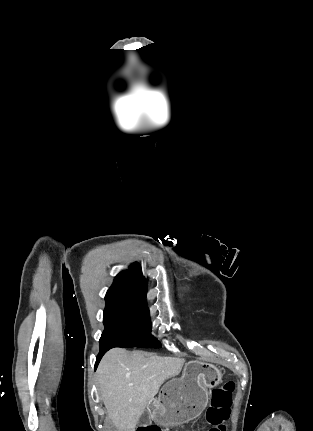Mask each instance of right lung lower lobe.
Instances as JSON below:
<instances>
[{"label":"right lung lower lobe","instance_id":"1","mask_svg":"<svg viewBox=\"0 0 313 431\" xmlns=\"http://www.w3.org/2000/svg\"><path fill=\"white\" fill-rule=\"evenodd\" d=\"M108 350H109V348H102V349H100V352H99V354H98V356H97V359H96L95 369L97 368V366H98V364H99V362H100V360H101L102 356H103V355H104Z\"/></svg>","mask_w":313,"mask_h":431}]
</instances>
